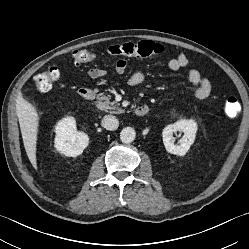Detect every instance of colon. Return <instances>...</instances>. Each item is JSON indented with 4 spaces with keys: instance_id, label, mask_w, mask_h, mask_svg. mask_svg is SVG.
Masks as SVG:
<instances>
[{
    "instance_id": "5ec220e1",
    "label": "colon",
    "mask_w": 249,
    "mask_h": 249,
    "mask_svg": "<svg viewBox=\"0 0 249 249\" xmlns=\"http://www.w3.org/2000/svg\"><path fill=\"white\" fill-rule=\"evenodd\" d=\"M163 51L160 44L149 40H140L137 42H128L119 45L111 46L106 53L102 55L103 58H155ZM99 56L88 50H77L74 55V63L82 65L93 62ZM60 76L59 70L51 67L39 74L33 79L35 88L41 92L50 91L53 85L58 81ZM224 114L228 118L235 117L240 111V103L236 98H228L223 107Z\"/></svg>"
}]
</instances>
